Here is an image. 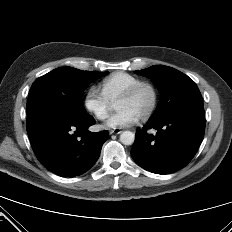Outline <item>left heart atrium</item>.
Listing matches in <instances>:
<instances>
[{
  "label": "left heart atrium",
  "mask_w": 232,
  "mask_h": 232,
  "mask_svg": "<svg viewBox=\"0 0 232 232\" xmlns=\"http://www.w3.org/2000/svg\"><path fill=\"white\" fill-rule=\"evenodd\" d=\"M139 116L129 109H118L105 123L104 127L108 129L125 128L134 124Z\"/></svg>",
  "instance_id": "39dd6f15"
}]
</instances>
